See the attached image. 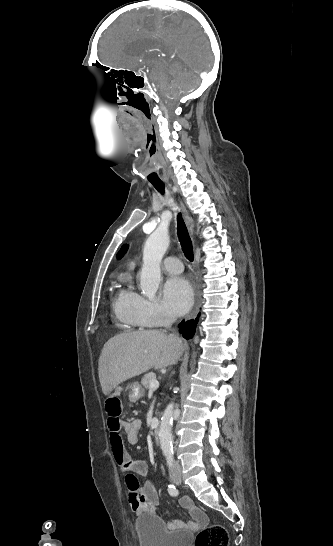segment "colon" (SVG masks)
<instances>
[{"mask_svg":"<svg viewBox=\"0 0 333 546\" xmlns=\"http://www.w3.org/2000/svg\"><path fill=\"white\" fill-rule=\"evenodd\" d=\"M123 398L121 396H110L105 402L107 416L116 420L122 411ZM229 537L224 527L211 525L202 529L196 536L195 546H228Z\"/></svg>","mask_w":333,"mask_h":546,"instance_id":"obj_1","label":"colon"}]
</instances>
